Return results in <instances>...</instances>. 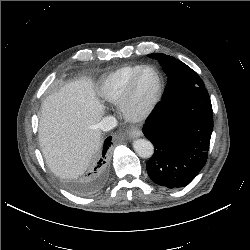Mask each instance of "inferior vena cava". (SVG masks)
<instances>
[{
    "label": "inferior vena cava",
    "mask_w": 250,
    "mask_h": 250,
    "mask_svg": "<svg viewBox=\"0 0 250 250\" xmlns=\"http://www.w3.org/2000/svg\"><path fill=\"white\" fill-rule=\"evenodd\" d=\"M116 126H117V120L113 116H107L103 118L98 124V127L104 132L110 131Z\"/></svg>",
    "instance_id": "inferior-vena-cava-1"
}]
</instances>
